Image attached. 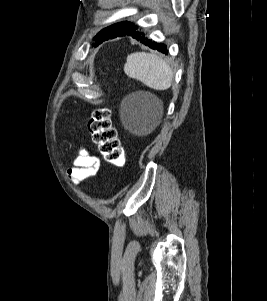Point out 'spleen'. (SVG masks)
Instances as JSON below:
<instances>
[{"instance_id":"spleen-1","label":"spleen","mask_w":267,"mask_h":301,"mask_svg":"<svg viewBox=\"0 0 267 301\" xmlns=\"http://www.w3.org/2000/svg\"><path fill=\"white\" fill-rule=\"evenodd\" d=\"M125 74L137 79L155 90H166L173 82V71L160 56L152 53L136 52L127 57Z\"/></svg>"}]
</instances>
